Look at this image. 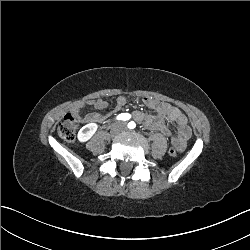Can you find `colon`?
<instances>
[{
  "instance_id": "obj_1",
  "label": "colon",
  "mask_w": 250,
  "mask_h": 250,
  "mask_svg": "<svg viewBox=\"0 0 250 250\" xmlns=\"http://www.w3.org/2000/svg\"><path fill=\"white\" fill-rule=\"evenodd\" d=\"M78 128V119L74 114H67L59 123L57 132L61 139L64 141H73L76 137ZM179 152L178 147H169L166 153L169 156L175 157Z\"/></svg>"
}]
</instances>
